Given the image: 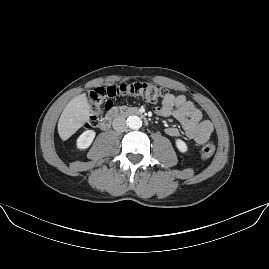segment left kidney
Returning a JSON list of instances; mask_svg holds the SVG:
<instances>
[{
  "mask_svg": "<svg viewBox=\"0 0 269 269\" xmlns=\"http://www.w3.org/2000/svg\"><path fill=\"white\" fill-rule=\"evenodd\" d=\"M176 146H177L178 150L182 153H185L188 150L186 143L184 141H182L181 139L176 140Z\"/></svg>",
  "mask_w": 269,
  "mask_h": 269,
  "instance_id": "5707ae66",
  "label": "left kidney"
}]
</instances>
